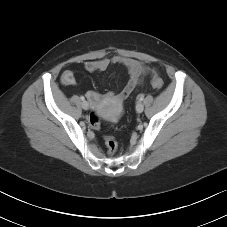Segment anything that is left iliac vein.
I'll list each match as a JSON object with an SVG mask.
<instances>
[{
	"instance_id": "1",
	"label": "left iliac vein",
	"mask_w": 227,
	"mask_h": 227,
	"mask_svg": "<svg viewBox=\"0 0 227 227\" xmlns=\"http://www.w3.org/2000/svg\"><path fill=\"white\" fill-rule=\"evenodd\" d=\"M143 110H144L143 104L141 102H138L137 105H136V111L138 113H141V112H143Z\"/></svg>"
}]
</instances>
